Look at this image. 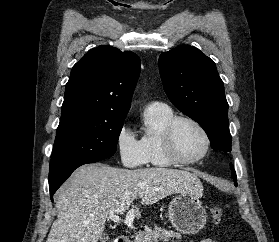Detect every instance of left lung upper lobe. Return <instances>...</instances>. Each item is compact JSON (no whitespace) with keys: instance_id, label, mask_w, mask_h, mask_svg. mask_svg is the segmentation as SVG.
I'll list each match as a JSON object with an SVG mask.
<instances>
[{"instance_id":"left-lung-upper-lobe-1","label":"left lung upper lobe","mask_w":279,"mask_h":242,"mask_svg":"<svg viewBox=\"0 0 279 242\" xmlns=\"http://www.w3.org/2000/svg\"><path fill=\"white\" fill-rule=\"evenodd\" d=\"M164 90L174 106L198 122L211 147L231 151L228 103L215 63L193 46H179L159 57ZM232 178L236 181L233 165Z\"/></svg>"}]
</instances>
